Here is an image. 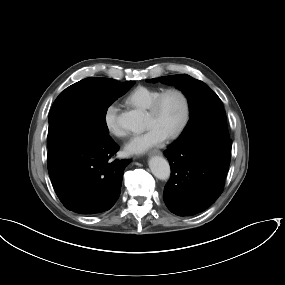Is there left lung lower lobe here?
I'll return each mask as SVG.
<instances>
[{"label": "left lung lower lobe", "mask_w": 285, "mask_h": 285, "mask_svg": "<svg viewBox=\"0 0 285 285\" xmlns=\"http://www.w3.org/2000/svg\"><path fill=\"white\" fill-rule=\"evenodd\" d=\"M229 138L207 136L164 152L171 166V178L163 200L178 216L195 215L215 202L223 191L231 159Z\"/></svg>", "instance_id": "left-lung-lower-lobe-1"}]
</instances>
